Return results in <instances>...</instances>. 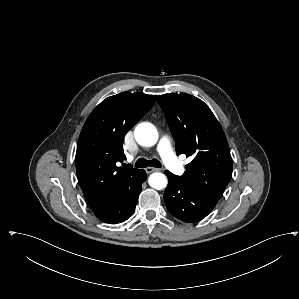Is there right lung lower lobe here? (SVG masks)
<instances>
[{"instance_id":"1","label":"right lung lower lobe","mask_w":299,"mask_h":299,"mask_svg":"<svg viewBox=\"0 0 299 299\" xmlns=\"http://www.w3.org/2000/svg\"><path fill=\"white\" fill-rule=\"evenodd\" d=\"M145 179L146 172L142 169L138 170L104 203L93 210L96 217L103 222L111 224L127 220L135 210L142 183Z\"/></svg>"}]
</instances>
